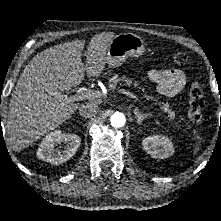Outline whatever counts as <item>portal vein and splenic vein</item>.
<instances>
[{
	"label": "portal vein and splenic vein",
	"instance_id": "obj_1",
	"mask_svg": "<svg viewBox=\"0 0 221 221\" xmlns=\"http://www.w3.org/2000/svg\"><path fill=\"white\" fill-rule=\"evenodd\" d=\"M116 91L118 93L126 95L130 98L138 100V97L130 91H127L125 89H116ZM102 95L103 94L100 91H81V90H79L77 92V94H75V95H72V96L63 95L62 98L67 103H70V102H75V101H81V100H84V99L99 98Z\"/></svg>",
	"mask_w": 221,
	"mask_h": 221
}]
</instances>
